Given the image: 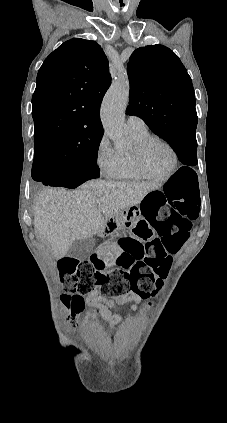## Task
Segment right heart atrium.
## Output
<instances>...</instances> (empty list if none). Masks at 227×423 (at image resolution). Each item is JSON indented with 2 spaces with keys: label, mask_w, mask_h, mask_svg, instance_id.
Masks as SVG:
<instances>
[{
  "label": "right heart atrium",
  "mask_w": 227,
  "mask_h": 423,
  "mask_svg": "<svg viewBox=\"0 0 227 423\" xmlns=\"http://www.w3.org/2000/svg\"><path fill=\"white\" fill-rule=\"evenodd\" d=\"M95 160L100 172L108 178H116L119 160L106 134H102L97 142Z\"/></svg>",
  "instance_id": "d8ad5b80"
}]
</instances>
